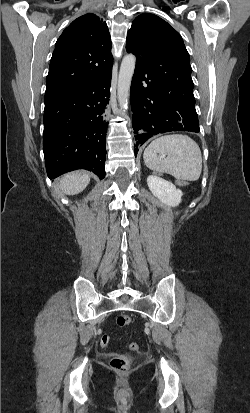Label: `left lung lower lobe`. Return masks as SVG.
Returning <instances> with one entry per match:
<instances>
[{
	"label": "left lung lower lobe",
	"instance_id": "1",
	"mask_svg": "<svg viewBox=\"0 0 250 413\" xmlns=\"http://www.w3.org/2000/svg\"><path fill=\"white\" fill-rule=\"evenodd\" d=\"M130 52L137 57L130 89L136 147L159 133H198L200 129L195 110L193 81L181 82L172 75H153L144 65V57L138 50ZM137 151L138 148H135V153Z\"/></svg>",
	"mask_w": 250,
	"mask_h": 413
}]
</instances>
